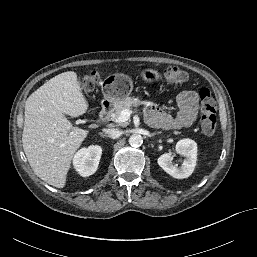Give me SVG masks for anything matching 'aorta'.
Here are the masks:
<instances>
[{"mask_svg": "<svg viewBox=\"0 0 257 257\" xmlns=\"http://www.w3.org/2000/svg\"><path fill=\"white\" fill-rule=\"evenodd\" d=\"M128 142L132 147H140L143 143V138L139 134H133L130 136Z\"/></svg>", "mask_w": 257, "mask_h": 257, "instance_id": "obj_1", "label": "aorta"}]
</instances>
